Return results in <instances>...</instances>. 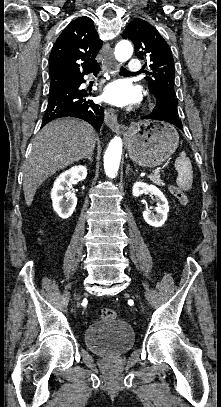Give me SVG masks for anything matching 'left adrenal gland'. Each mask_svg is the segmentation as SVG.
Segmentation results:
<instances>
[{"mask_svg": "<svg viewBox=\"0 0 221 407\" xmlns=\"http://www.w3.org/2000/svg\"><path fill=\"white\" fill-rule=\"evenodd\" d=\"M129 172H133V170L130 168V165L128 164L126 167V175H128Z\"/></svg>", "mask_w": 221, "mask_h": 407, "instance_id": "obj_1", "label": "left adrenal gland"}]
</instances>
